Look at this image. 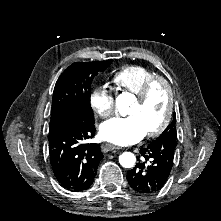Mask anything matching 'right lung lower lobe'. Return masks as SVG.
<instances>
[{"mask_svg": "<svg viewBox=\"0 0 221 221\" xmlns=\"http://www.w3.org/2000/svg\"><path fill=\"white\" fill-rule=\"evenodd\" d=\"M95 134L94 120L65 116L49 126V154L59 184L73 192L88 189L103 153L98 144L86 143Z\"/></svg>", "mask_w": 221, "mask_h": 221, "instance_id": "right-lung-lower-lobe-1", "label": "right lung lower lobe"}]
</instances>
